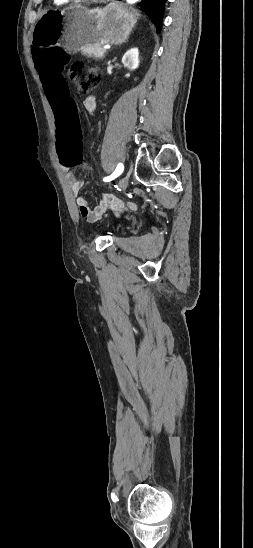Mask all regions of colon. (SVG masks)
I'll list each match as a JSON object with an SVG mask.
<instances>
[{"instance_id":"1","label":"colon","mask_w":253,"mask_h":548,"mask_svg":"<svg viewBox=\"0 0 253 548\" xmlns=\"http://www.w3.org/2000/svg\"><path fill=\"white\" fill-rule=\"evenodd\" d=\"M34 68L40 79V93L47 96V104L52 105V118L57 124L55 152L62 166L82 165L91 175H96L87 158L81 157L80 127L77 114L79 107L73 98V91L68 88V77L65 74V55L58 49H35L33 53ZM70 78L77 94L89 93L99 81L98 74L87 68L82 62H74L70 68Z\"/></svg>"}]
</instances>
